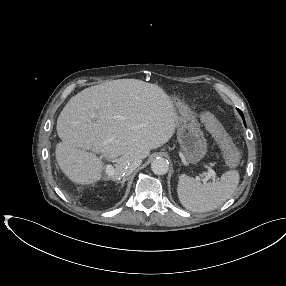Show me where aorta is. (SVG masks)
I'll use <instances>...</instances> for the list:
<instances>
[{
    "label": "aorta",
    "mask_w": 286,
    "mask_h": 286,
    "mask_svg": "<svg viewBox=\"0 0 286 286\" xmlns=\"http://www.w3.org/2000/svg\"><path fill=\"white\" fill-rule=\"evenodd\" d=\"M169 163L164 158H156L151 163V170L156 175H164L168 172Z\"/></svg>",
    "instance_id": "obj_1"
}]
</instances>
